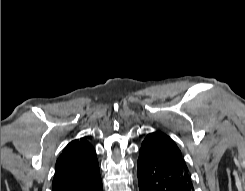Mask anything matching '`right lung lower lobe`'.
<instances>
[{
	"label": "right lung lower lobe",
	"mask_w": 245,
	"mask_h": 191,
	"mask_svg": "<svg viewBox=\"0 0 245 191\" xmlns=\"http://www.w3.org/2000/svg\"><path fill=\"white\" fill-rule=\"evenodd\" d=\"M55 191H103L99 166L89 174L70 181Z\"/></svg>",
	"instance_id": "obj_1"
}]
</instances>
